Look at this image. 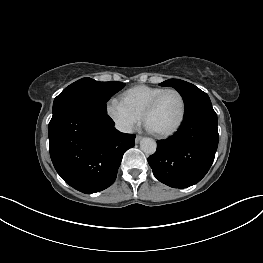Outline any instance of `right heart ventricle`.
<instances>
[{
	"label": "right heart ventricle",
	"instance_id": "e07e8e85",
	"mask_svg": "<svg viewBox=\"0 0 263 263\" xmlns=\"http://www.w3.org/2000/svg\"><path fill=\"white\" fill-rule=\"evenodd\" d=\"M165 88L138 85L126 90L121 101L134 113L142 117L148 103Z\"/></svg>",
	"mask_w": 263,
	"mask_h": 263
}]
</instances>
